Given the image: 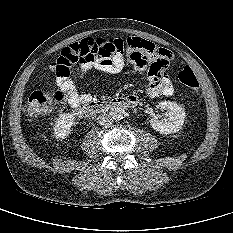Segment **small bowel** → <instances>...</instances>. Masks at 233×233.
<instances>
[{
	"label": "small bowel",
	"instance_id": "obj_1",
	"mask_svg": "<svg viewBox=\"0 0 233 233\" xmlns=\"http://www.w3.org/2000/svg\"><path fill=\"white\" fill-rule=\"evenodd\" d=\"M143 50V51H142ZM173 59V54L166 48L155 46L153 43L137 38H130L125 43V60L135 73L146 72L150 75L151 84L148 88V95L156 98L170 96L174 87L166 69ZM123 56H114L107 62H94L83 64L80 69L79 78L85 79L93 70L114 75L124 68ZM55 73L59 91L64 95L65 103L77 113L78 108L91 101L87 93H79L76 85L68 75H60L56 72L54 64L51 65ZM78 115V114H77Z\"/></svg>",
	"mask_w": 233,
	"mask_h": 233
}]
</instances>
